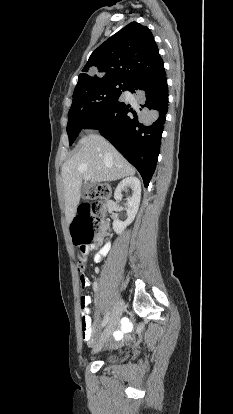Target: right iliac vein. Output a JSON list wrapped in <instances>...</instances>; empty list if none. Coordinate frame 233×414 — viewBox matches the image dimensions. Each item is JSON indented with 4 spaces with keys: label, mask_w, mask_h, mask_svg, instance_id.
I'll return each instance as SVG.
<instances>
[{
    "label": "right iliac vein",
    "mask_w": 233,
    "mask_h": 414,
    "mask_svg": "<svg viewBox=\"0 0 233 414\" xmlns=\"http://www.w3.org/2000/svg\"><path fill=\"white\" fill-rule=\"evenodd\" d=\"M123 311H124V302L120 300L115 306L112 312L110 321L107 325V328L105 329L101 337V340L99 344L96 346V348L94 349V351H99L102 348L103 343L109 338V336L112 334L113 330L115 329L120 317L122 316Z\"/></svg>",
    "instance_id": "obj_1"
}]
</instances>
